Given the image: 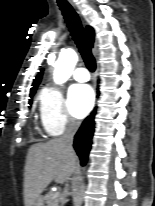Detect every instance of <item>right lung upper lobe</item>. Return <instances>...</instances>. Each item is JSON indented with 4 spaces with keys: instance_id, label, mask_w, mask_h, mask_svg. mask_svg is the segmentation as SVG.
Wrapping results in <instances>:
<instances>
[{
    "instance_id": "1",
    "label": "right lung upper lobe",
    "mask_w": 155,
    "mask_h": 206,
    "mask_svg": "<svg viewBox=\"0 0 155 206\" xmlns=\"http://www.w3.org/2000/svg\"><path fill=\"white\" fill-rule=\"evenodd\" d=\"M86 31H87L88 37L90 39V44H91V46H93V43H94V30L91 27H87ZM42 74H43V70H41L39 72V74L37 75V77L34 79V82L32 84L33 87L31 88L30 94L35 93L36 88L38 87V85L41 81Z\"/></svg>"
}]
</instances>
